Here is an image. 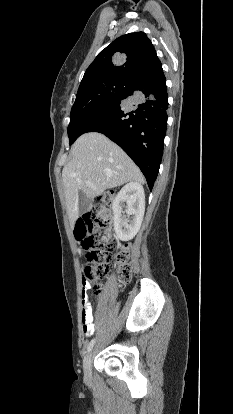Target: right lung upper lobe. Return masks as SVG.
<instances>
[{"label":"right lung upper lobe","mask_w":233,"mask_h":414,"mask_svg":"<svg viewBox=\"0 0 233 414\" xmlns=\"http://www.w3.org/2000/svg\"><path fill=\"white\" fill-rule=\"evenodd\" d=\"M162 71L150 39L144 32L117 38L87 68L79 88L105 78L137 81Z\"/></svg>","instance_id":"right-lung-upper-lobe-1"}]
</instances>
